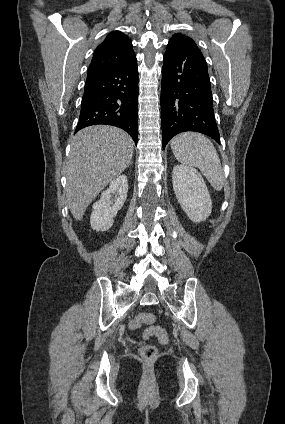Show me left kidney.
I'll return each instance as SVG.
<instances>
[{"mask_svg":"<svg viewBox=\"0 0 285 424\" xmlns=\"http://www.w3.org/2000/svg\"><path fill=\"white\" fill-rule=\"evenodd\" d=\"M173 189L189 219L199 223L212 212V200L202 175L193 167L176 165L172 174Z\"/></svg>","mask_w":285,"mask_h":424,"instance_id":"1","label":"left kidney"}]
</instances>
